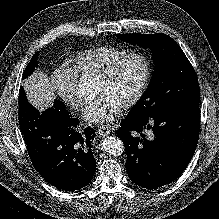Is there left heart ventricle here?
Here are the masks:
<instances>
[{
	"instance_id": "obj_1",
	"label": "left heart ventricle",
	"mask_w": 219,
	"mask_h": 219,
	"mask_svg": "<svg viewBox=\"0 0 219 219\" xmlns=\"http://www.w3.org/2000/svg\"><path fill=\"white\" fill-rule=\"evenodd\" d=\"M144 75V64L138 58L127 60L108 82H97V96H108L120 106L137 91Z\"/></svg>"
}]
</instances>
